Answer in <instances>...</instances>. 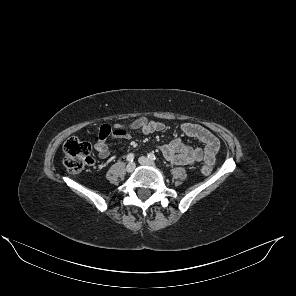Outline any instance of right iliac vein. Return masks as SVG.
<instances>
[{
    "label": "right iliac vein",
    "mask_w": 296,
    "mask_h": 296,
    "mask_svg": "<svg viewBox=\"0 0 296 296\" xmlns=\"http://www.w3.org/2000/svg\"><path fill=\"white\" fill-rule=\"evenodd\" d=\"M134 169H135V164H134V163H129V164L126 166V171H127L128 173L133 172Z\"/></svg>",
    "instance_id": "obj_1"
}]
</instances>
